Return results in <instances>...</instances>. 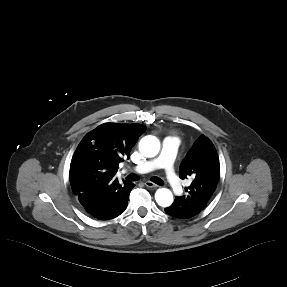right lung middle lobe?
Segmentation results:
<instances>
[{
    "label": "right lung middle lobe",
    "mask_w": 287,
    "mask_h": 287,
    "mask_svg": "<svg viewBox=\"0 0 287 287\" xmlns=\"http://www.w3.org/2000/svg\"><path fill=\"white\" fill-rule=\"evenodd\" d=\"M79 175L82 179L93 181L104 177L103 170L98 164L83 165L79 168Z\"/></svg>",
    "instance_id": "right-lung-middle-lobe-1"
}]
</instances>
